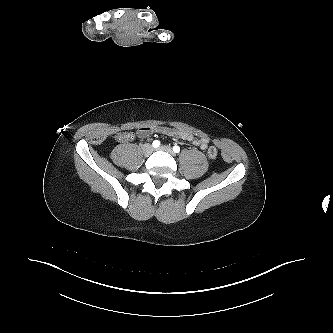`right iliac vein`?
I'll return each instance as SVG.
<instances>
[{
  "label": "right iliac vein",
  "instance_id": "right-iliac-vein-1",
  "mask_svg": "<svg viewBox=\"0 0 333 333\" xmlns=\"http://www.w3.org/2000/svg\"><path fill=\"white\" fill-rule=\"evenodd\" d=\"M142 151H143V154H144V155L148 156V155H150V154L152 153V151H153V147H152V145L149 144V143L144 144V145L142 146Z\"/></svg>",
  "mask_w": 333,
  "mask_h": 333
}]
</instances>
